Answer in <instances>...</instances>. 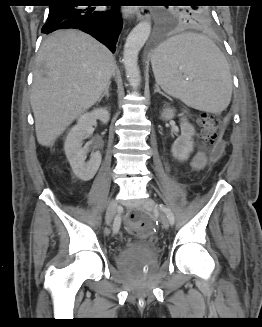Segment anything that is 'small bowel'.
I'll use <instances>...</instances> for the list:
<instances>
[{
  "label": "small bowel",
  "instance_id": "c3829d8e",
  "mask_svg": "<svg viewBox=\"0 0 262 327\" xmlns=\"http://www.w3.org/2000/svg\"><path fill=\"white\" fill-rule=\"evenodd\" d=\"M208 163L207 156L204 152H197L190 161V166L194 170H202Z\"/></svg>",
  "mask_w": 262,
  "mask_h": 327
}]
</instances>
